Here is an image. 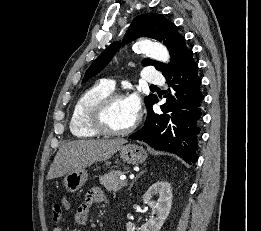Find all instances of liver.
Masks as SVG:
<instances>
[{"mask_svg": "<svg viewBox=\"0 0 261 231\" xmlns=\"http://www.w3.org/2000/svg\"><path fill=\"white\" fill-rule=\"evenodd\" d=\"M127 143L124 139L75 140L62 145L57 152L47 179L62 177L70 172L85 169L94 162L111 158Z\"/></svg>", "mask_w": 261, "mask_h": 231, "instance_id": "1", "label": "liver"}]
</instances>
